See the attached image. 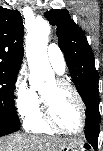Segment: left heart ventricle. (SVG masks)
Returning <instances> with one entry per match:
<instances>
[{"label": "left heart ventricle", "mask_w": 103, "mask_h": 151, "mask_svg": "<svg viewBox=\"0 0 103 151\" xmlns=\"http://www.w3.org/2000/svg\"><path fill=\"white\" fill-rule=\"evenodd\" d=\"M41 95L49 101L53 119L59 126L68 130H77L81 126V109L70 90L58 87L53 81L41 91Z\"/></svg>", "instance_id": "1"}]
</instances>
